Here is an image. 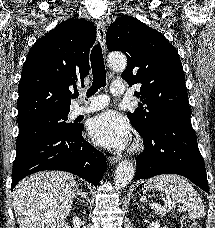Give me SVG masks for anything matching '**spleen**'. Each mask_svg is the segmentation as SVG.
Here are the masks:
<instances>
[{"label":"spleen","instance_id":"spleen-1","mask_svg":"<svg viewBox=\"0 0 215 228\" xmlns=\"http://www.w3.org/2000/svg\"><path fill=\"white\" fill-rule=\"evenodd\" d=\"M149 190H160L163 194H168L171 198H175L177 202L185 206L190 218H193V220L204 218L206 214L205 206H203L198 192H195L191 184L185 178H181V176L162 174V176L150 178L148 182H145L142 192L145 194Z\"/></svg>","mask_w":215,"mask_h":228}]
</instances>
